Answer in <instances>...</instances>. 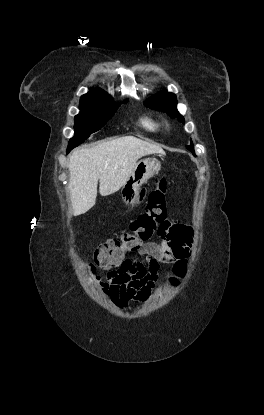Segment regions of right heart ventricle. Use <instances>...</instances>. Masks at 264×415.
<instances>
[{
    "mask_svg": "<svg viewBox=\"0 0 264 415\" xmlns=\"http://www.w3.org/2000/svg\"><path fill=\"white\" fill-rule=\"evenodd\" d=\"M140 126L149 133H155L161 129V123L152 116H143L139 120Z\"/></svg>",
    "mask_w": 264,
    "mask_h": 415,
    "instance_id": "1",
    "label": "right heart ventricle"
}]
</instances>
